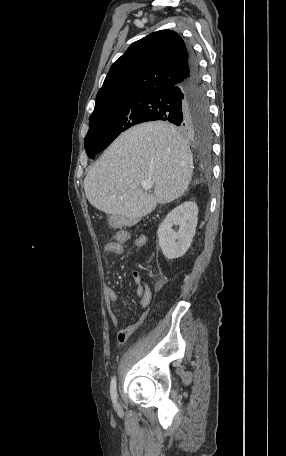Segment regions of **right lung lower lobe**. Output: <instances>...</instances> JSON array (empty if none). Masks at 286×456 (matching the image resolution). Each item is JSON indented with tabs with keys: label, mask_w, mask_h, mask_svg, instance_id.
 I'll return each instance as SVG.
<instances>
[{
	"label": "right lung lower lobe",
	"mask_w": 286,
	"mask_h": 456,
	"mask_svg": "<svg viewBox=\"0 0 286 456\" xmlns=\"http://www.w3.org/2000/svg\"><path fill=\"white\" fill-rule=\"evenodd\" d=\"M146 121H169L184 130L206 119L207 96L202 85L198 61L189 50L188 75L185 79L163 86L141 96Z\"/></svg>",
	"instance_id": "obj_1"
}]
</instances>
